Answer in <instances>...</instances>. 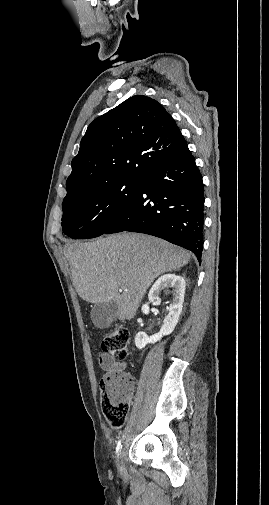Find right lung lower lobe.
Masks as SVG:
<instances>
[{
    "mask_svg": "<svg viewBox=\"0 0 269 505\" xmlns=\"http://www.w3.org/2000/svg\"><path fill=\"white\" fill-rule=\"evenodd\" d=\"M204 227V184L188 147L150 168L119 219L105 232L160 237L192 251L199 263Z\"/></svg>",
    "mask_w": 269,
    "mask_h": 505,
    "instance_id": "right-lung-lower-lobe-1",
    "label": "right lung lower lobe"
}]
</instances>
